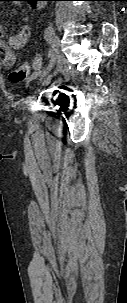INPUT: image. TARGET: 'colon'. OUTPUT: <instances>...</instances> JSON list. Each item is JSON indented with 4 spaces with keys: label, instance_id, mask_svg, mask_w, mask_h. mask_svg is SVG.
I'll return each mask as SVG.
<instances>
[{
    "label": "colon",
    "instance_id": "colon-1",
    "mask_svg": "<svg viewBox=\"0 0 127 303\" xmlns=\"http://www.w3.org/2000/svg\"><path fill=\"white\" fill-rule=\"evenodd\" d=\"M42 64L41 57L39 55L34 56L31 62L26 63L21 68L14 70L10 73L9 79L12 83H20L23 81L30 73L31 67L35 70L40 69Z\"/></svg>",
    "mask_w": 127,
    "mask_h": 303
}]
</instances>
